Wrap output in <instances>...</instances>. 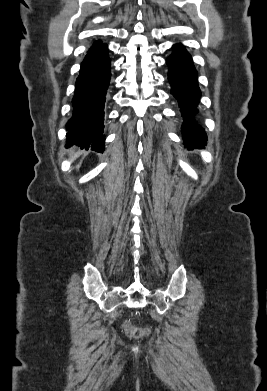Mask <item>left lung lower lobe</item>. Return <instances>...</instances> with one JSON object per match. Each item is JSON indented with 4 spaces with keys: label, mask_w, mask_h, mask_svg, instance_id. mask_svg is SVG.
I'll use <instances>...</instances> for the list:
<instances>
[{
    "label": "left lung lower lobe",
    "mask_w": 267,
    "mask_h": 391,
    "mask_svg": "<svg viewBox=\"0 0 267 391\" xmlns=\"http://www.w3.org/2000/svg\"><path fill=\"white\" fill-rule=\"evenodd\" d=\"M175 51L166 59L169 66L168 80L171 94L177 99L184 117L183 139L187 149L204 147L206 135L195 122L197 104L201 96L197 82V71L190 54L181 44L174 45Z\"/></svg>",
    "instance_id": "obj_1"
}]
</instances>
